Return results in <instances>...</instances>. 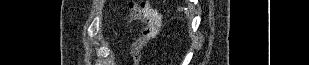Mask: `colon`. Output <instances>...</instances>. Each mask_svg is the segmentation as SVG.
Returning a JSON list of instances; mask_svg holds the SVG:
<instances>
[{
  "label": "colon",
  "instance_id": "obj_1",
  "mask_svg": "<svg viewBox=\"0 0 309 65\" xmlns=\"http://www.w3.org/2000/svg\"><path fill=\"white\" fill-rule=\"evenodd\" d=\"M129 12L132 20L144 23L143 32L128 48L130 60L134 65H137L145 46L158 35L161 26V17L145 2H131L129 4Z\"/></svg>",
  "mask_w": 309,
  "mask_h": 65
}]
</instances>
